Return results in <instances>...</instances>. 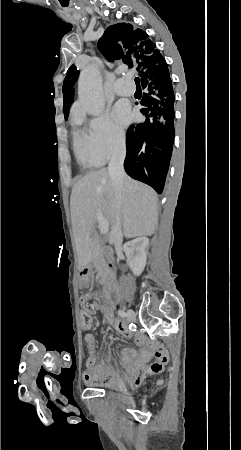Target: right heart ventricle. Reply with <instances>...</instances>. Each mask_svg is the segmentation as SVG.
Listing matches in <instances>:
<instances>
[{"label": "right heart ventricle", "mask_w": 241, "mask_h": 450, "mask_svg": "<svg viewBox=\"0 0 241 450\" xmlns=\"http://www.w3.org/2000/svg\"><path fill=\"white\" fill-rule=\"evenodd\" d=\"M91 126L86 125L84 130H79L77 126L73 130V147L78 162L87 168L97 167L104 163V161L97 158L95 155H89L86 149V129Z\"/></svg>", "instance_id": "right-heart-ventricle-1"}]
</instances>
